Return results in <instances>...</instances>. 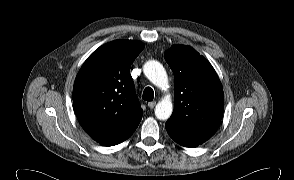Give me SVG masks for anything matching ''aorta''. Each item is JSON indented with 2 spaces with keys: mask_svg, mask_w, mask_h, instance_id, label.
<instances>
[{
  "mask_svg": "<svg viewBox=\"0 0 294 180\" xmlns=\"http://www.w3.org/2000/svg\"><path fill=\"white\" fill-rule=\"evenodd\" d=\"M146 77L158 88L166 89L168 86V77L163 65L154 60L145 63L143 68ZM173 111V105L170 97H165L155 107V116L159 120H167Z\"/></svg>",
  "mask_w": 294,
  "mask_h": 180,
  "instance_id": "762f6f07",
  "label": "aorta"
}]
</instances>
